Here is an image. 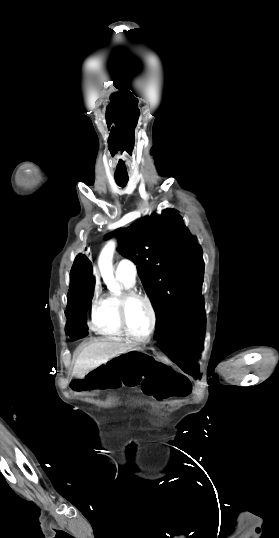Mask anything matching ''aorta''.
<instances>
[{
	"mask_svg": "<svg viewBox=\"0 0 279 538\" xmlns=\"http://www.w3.org/2000/svg\"><path fill=\"white\" fill-rule=\"evenodd\" d=\"M116 248V241L110 240L102 249L101 254L99 256L98 266L101 272V276L103 278L104 283L107 285V288L119 295L120 294V286L118 283H116L113 275V254Z\"/></svg>",
	"mask_w": 279,
	"mask_h": 538,
	"instance_id": "obj_1",
	"label": "aorta"
}]
</instances>
